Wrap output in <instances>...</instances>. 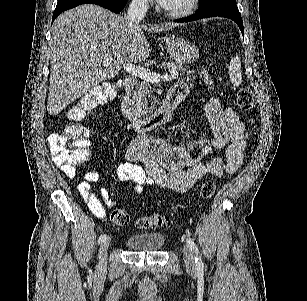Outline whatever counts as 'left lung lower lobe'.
<instances>
[{"label":"left lung lower lobe","instance_id":"0a47b994","mask_svg":"<svg viewBox=\"0 0 307 301\" xmlns=\"http://www.w3.org/2000/svg\"><path fill=\"white\" fill-rule=\"evenodd\" d=\"M216 16L225 17V18H229L233 20L239 26L242 34H244L243 21L241 18V14H235V13H230V12H219V11H208V12H203V13L197 12L196 14L190 17L179 19V20H176L175 22H181V23L189 22V21H194V20L209 18V17H216Z\"/></svg>","mask_w":307,"mask_h":301}]
</instances>
